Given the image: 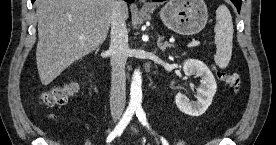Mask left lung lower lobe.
Listing matches in <instances>:
<instances>
[{
	"mask_svg": "<svg viewBox=\"0 0 276 145\" xmlns=\"http://www.w3.org/2000/svg\"><path fill=\"white\" fill-rule=\"evenodd\" d=\"M153 1H164V0H153ZM234 5L236 6L238 12H240V9H241V0H231Z\"/></svg>",
	"mask_w": 276,
	"mask_h": 145,
	"instance_id": "left-lung-lower-lobe-1",
	"label": "left lung lower lobe"
}]
</instances>
